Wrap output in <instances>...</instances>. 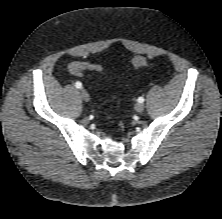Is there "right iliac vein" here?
I'll use <instances>...</instances> for the list:
<instances>
[{
  "label": "right iliac vein",
  "mask_w": 222,
  "mask_h": 219,
  "mask_svg": "<svg viewBox=\"0 0 222 219\" xmlns=\"http://www.w3.org/2000/svg\"><path fill=\"white\" fill-rule=\"evenodd\" d=\"M80 95L84 101L88 102L90 100L89 93L85 89L80 90Z\"/></svg>",
  "instance_id": "right-iliac-vein-1"
}]
</instances>
